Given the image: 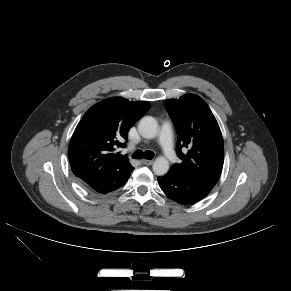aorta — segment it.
I'll list each match as a JSON object with an SVG mask.
<instances>
[{"instance_id":"aorta-1","label":"aorta","mask_w":291,"mask_h":291,"mask_svg":"<svg viewBox=\"0 0 291 291\" xmlns=\"http://www.w3.org/2000/svg\"><path fill=\"white\" fill-rule=\"evenodd\" d=\"M140 135L146 139H153L158 134V123L151 116L143 117L138 124ZM169 170V162L165 157H157L153 163V171L158 176L165 175Z\"/></svg>"}]
</instances>
